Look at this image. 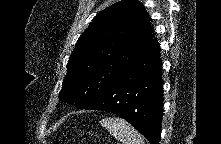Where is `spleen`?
Segmentation results:
<instances>
[{"mask_svg": "<svg viewBox=\"0 0 221 144\" xmlns=\"http://www.w3.org/2000/svg\"><path fill=\"white\" fill-rule=\"evenodd\" d=\"M100 125L123 144H144L143 136L120 117H106L100 120Z\"/></svg>", "mask_w": 221, "mask_h": 144, "instance_id": "obj_1", "label": "spleen"}]
</instances>
